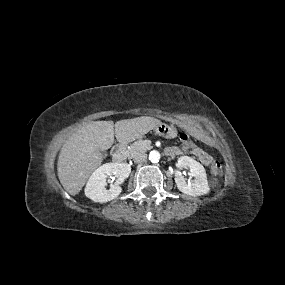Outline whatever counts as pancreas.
Segmentation results:
<instances>
[{
    "label": "pancreas",
    "mask_w": 285,
    "mask_h": 285,
    "mask_svg": "<svg viewBox=\"0 0 285 285\" xmlns=\"http://www.w3.org/2000/svg\"><path fill=\"white\" fill-rule=\"evenodd\" d=\"M151 148L150 145H147L144 140H138L131 144L128 148V153L130 157H134L139 152H145Z\"/></svg>",
    "instance_id": "1"
}]
</instances>
